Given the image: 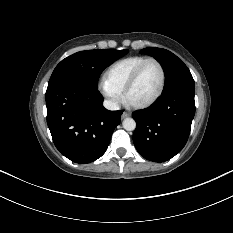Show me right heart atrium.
I'll use <instances>...</instances> for the list:
<instances>
[{
  "label": "right heart atrium",
  "instance_id": "1",
  "mask_svg": "<svg viewBox=\"0 0 233 233\" xmlns=\"http://www.w3.org/2000/svg\"><path fill=\"white\" fill-rule=\"evenodd\" d=\"M99 90L111 107L118 106L123 100L122 92L109 84L105 79L100 81Z\"/></svg>",
  "mask_w": 233,
  "mask_h": 233
}]
</instances>
